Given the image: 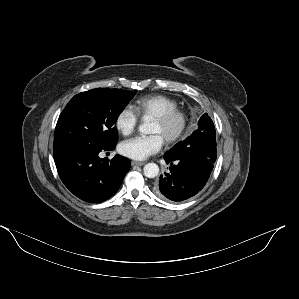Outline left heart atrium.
Instances as JSON below:
<instances>
[{
	"label": "left heart atrium",
	"mask_w": 299,
	"mask_h": 299,
	"mask_svg": "<svg viewBox=\"0 0 299 299\" xmlns=\"http://www.w3.org/2000/svg\"><path fill=\"white\" fill-rule=\"evenodd\" d=\"M163 143V137L157 133L149 136H136L123 141L119 145V152L130 159L144 160L159 152Z\"/></svg>",
	"instance_id": "left-heart-atrium-1"
}]
</instances>
